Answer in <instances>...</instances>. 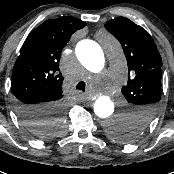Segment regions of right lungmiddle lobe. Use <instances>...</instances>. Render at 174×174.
Wrapping results in <instances>:
<instances>
[{"label": "right lung middle lobe", "mask_w": 174, "mask_h": 174, "mask_svg": "<svg viewBox=\"0 0 174 174\" xmlns=\"http://www.w3.org/2000/svg\"><path fill=\"white\" fill-rule=\"evenodd\" d=\"M30 123H35L36 125L31 126L32 130H34V133L38 134L43 133L45 135H51L58 131V128L60 126V123H45L44 125L42 124L43 122L39 119L36 121H30Z\"/></svg>", "instance_id": "right-lung-middle-lobe-1"}]
</instances>
